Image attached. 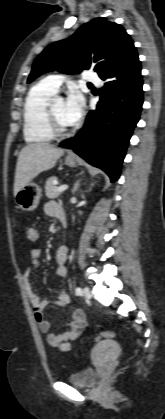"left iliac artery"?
Returning <instances> with one entry per match:
<instances>
[{
  "label": "left iliac artery",
  "instance_id": "left-iliac-artery-1",
  "mask_svg": "<svg viewBox=\"0 0 165 419\" xmlns=\"http://www.w3.org/2000/svg\"><path fill=\"white\" fill-rule=\"evenodd\" d=\"M75 294L76 295H82V289L80 288V287H77L76 289H75Z\"/></svg>",
  "mask_w": 165,
  "mask_h": 419
}]
</instances>
